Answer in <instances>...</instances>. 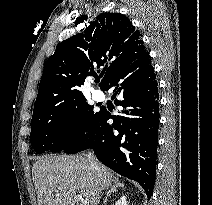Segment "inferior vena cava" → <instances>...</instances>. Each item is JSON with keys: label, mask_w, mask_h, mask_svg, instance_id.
<instances>
[{"label": "inferior vena cava", "mask_w": 212, "mask_h": 205, "mask_svg": "<svg viewBox=\"0 0 212 205\" xmlns=\"http://www.w3.org/2000/svg\"><path fill=\"white\" fill-rule=\"evenodd\" d=\"M87 158L90 161V166L94 170L95 175L99 178L101 176L100 167H99V164H98L95 156L93 155L92 152H88ZM95 181H96V183H98V179L97 178H96Z\"/></svg>", "instance_id": "obj_1"}]
</instances>
